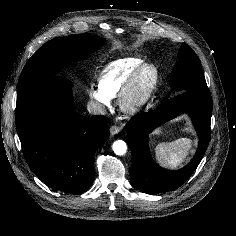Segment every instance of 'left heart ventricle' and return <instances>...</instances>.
I'll return each mask as SVG.
<instances>
[{
	"instance_id": "obj_1",
	"label": "left heart ventricle",
	"mask_w": 236,
	"mask_h": 236,
	"mask_svg": "<svg viewBox=\"0 0 236 236\" xmlns=\"http://www.w3.org/2000/svg\"><path fill=\"white\" fill-rule=\"evenodd\" d=\"M154 77V72L152 69H146L139 77L137 85H136V96H141L143 93L147 91L150 87L152 80Z\"/></svg>"
}]
</instances>
